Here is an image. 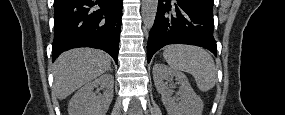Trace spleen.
I'll return each mask as SVG.
<instances>
[{"mask_svg":"<svg viewBox=\"0 0 285 115\" xmlns=\"http://www.w3.org/2000/svg\"><path fill=\"white\" fill-rule=\"evenodd\" d=\"M163 57L171 69L192 74L200 91L211 90L217 82V70L211 55L203 48L188 45H170Z\"/></svg>","mask_w":285,"mask_h":115,"instance_id":"1","label":"spleen"}]
</instances>
